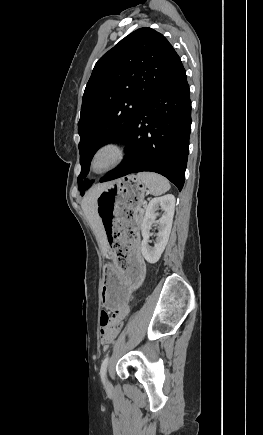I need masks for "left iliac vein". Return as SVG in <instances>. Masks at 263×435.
I'll return each instance as SVG.
<instances>
[{
  "label": "left iliac vein",
  "mask_w": 263,
  "mask_h": 435,
  "mask_svg": "<svg viewBox=\"0 0 263 435\" xmlns=\"http://www.w3.org/2000/svg\"><path fill=\"white\" fill-rule=\"evenodd\" d=\"M106 385H107V386H109V385H110L109 381H106Z\"/></svg>",
  "instance_id": "obj_1"
}]
</instances>
